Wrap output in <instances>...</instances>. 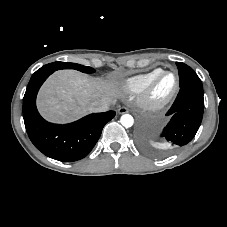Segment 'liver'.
Masks as SVG:
<instances>
[{"instance_id":"liver-1","label":"liver","mask_w":227,"mask_h":227,"mask_svg":"<svg viewBox=\"0 0 227 227\" xmlns=\"http://www.w3.org/2000/svg\"><path fill=\"white\" fill-rule=\"evenodd\" d=\"M118 95L115 81L88 77L74 70H61L42 86L37 107L45 119L65 123L93 112L92 104L102 99L115 103Z\"/></svg>"}]
</instances>
